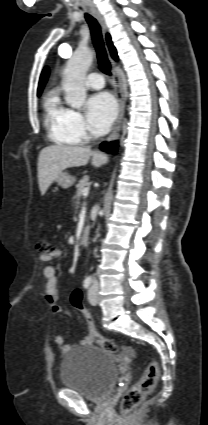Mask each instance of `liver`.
Instances as JSON below:
<instances>
[{
	"label": "liver",
	"mask_w": 208,
	"mask_h": 425,
	"mask_svg": "<svg viewBox=\"0 0 208 425\" xmlns=\"http://www.w3.org/2000/svg\"><path fill=\"white\" fill-rule=\"evenodd\" d=\"M90 158L91 164L96 168L108 162L105 154L87 147L59 144L43 148L38 157V183L41 195L46 193L63 170L85 166Z\"/></svg>",
	"instance_id": "liver-1"
}]
</instances>
